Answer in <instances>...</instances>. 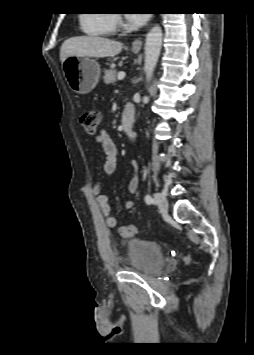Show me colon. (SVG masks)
<instances>
[{"mask_svg":"<svg viewBox=\"0 0 254 355\" xmlns=\"http://www.w3.org/2000/svg\"><path fill=\"white\" fill-rule=\"evenodd\" d=\"M99 122L100 115L97 110L89 109L82 114L81 124L85 131L89 134L96 133L99 126ZM119 231L123 237L130 238L137 233L138 227L134 224L123 225L120 227Z\"/></svg>","mask_w":254,"mask_h":355,"instance_id":"1","label":"colon"}]
</instances>
